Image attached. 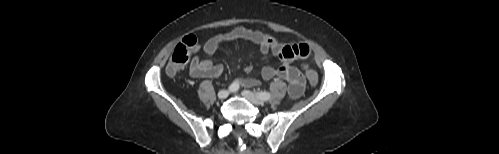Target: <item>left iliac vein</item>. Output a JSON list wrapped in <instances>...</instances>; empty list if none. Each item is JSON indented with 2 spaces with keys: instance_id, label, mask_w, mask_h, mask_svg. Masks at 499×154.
<instances>
[{
  "instance_id": "1",
  "label": "left iliac vein",
  "mask_w": 499,
  "mask_h": 154,
  "mask_svg": "<svg viewBox=\"0 0 499 154\" xmlns=\"http://www.w3.org/2000/svg\"><path fill=\"white\" fill-rule=\"evenodd\" d=\"M242 96L255 105H262L264 102L249 90H243Z\"/></svg>"
}]
</instances>
